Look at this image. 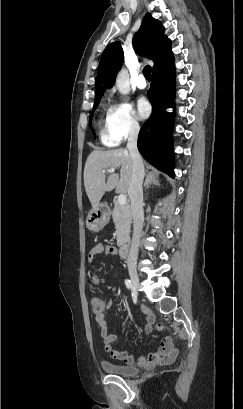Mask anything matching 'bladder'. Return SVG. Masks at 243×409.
Returning <instances> with one entry per match:
<instances>
[{"instance_id": "31cf9c89", "label": "bladder", "mask_w": 243, "mask_h": 409, "mask_svg": "<svg viewBox=\"0 0 243 409\" xmlns=\"http://www.w3.org/2000/svg\"><path fill=\"white\" fill-rule=\"evenodd\" d=\"M100 366L110 375L121 377L136 376L140 372V367L137 365H123L114 362H102Z\"/></svg>"}]
</instances>
